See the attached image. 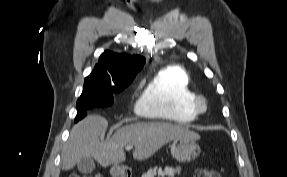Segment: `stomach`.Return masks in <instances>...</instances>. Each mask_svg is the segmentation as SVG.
<instances>
[{
  "mask_svg": "<svg viewBox=\"0 0 287 177\" xmlns=\"http://www.w3.org/2000/svg\"><path fill=\"white\" fill-rule=\"evenodd\" d=\"M171 154L179 162H190L200 154V147L192 138H179L173 140L171 146ZM110 173L112 177H126L127 168L119 164L111 167Z\"/></svg>",
  "mask_w": 287,
  "mask_h": 177,
  "instance_id": "obj_1",
  "label": "stomach"
}]
</instances>
